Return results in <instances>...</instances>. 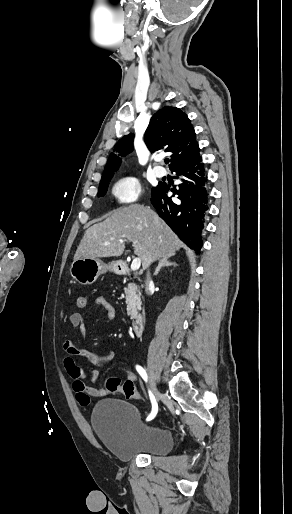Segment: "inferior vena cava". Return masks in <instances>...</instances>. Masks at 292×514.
<instances>
[{"label": "inferior vena cava", "mask_w": 292, "mask_h": 514, "mask_svg": "<svg viewBox=\"0 0 292 514\" xmlns=\"http://www.w3.org/2000/svg\"><path fill=\"white\" fill-rule=\"evenodd\" d=\"M147 276H148V278H147V284H149V282H151L149 272H148ZM146 292H147V294H149V292H148V288H146Z\"/></svg>", "instance_id": "1"}]
</instances>
